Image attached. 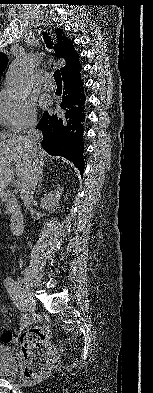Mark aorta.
I'll return each mask as SVG.
<instances>
[{
  "instance_id": "1",
  "label": "aorta",
  "mask_w": 153,
  "mask_h": 393,
  "mask_svg": "<svg viewBox=\"0 0 153 393\" xmlns=\"http://www.w3.org/2000/svg\"><path fill=\"white\" fill-rule=\"evenodd\" d=\"M32 64L30 58L15 60L7 75V90L15 98H22L30 93Z\"/></svg>"
}]
</instances>
